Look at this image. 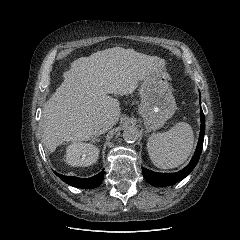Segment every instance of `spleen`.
<instances>
[{
  "label": "spleen",
  "mask_w": 240,
  "mask_h": 240,
  "mask_svg": "<svg viewBox=\"0 0 240 240\" xmlns=\"http://www.w3.org/2000/svg\"><path fill=\"white\" fill-rule=\"evenodd\" d=\"M194 143L191 126L179 122L163 133H153L147 143V149L153 164L161 169L175 168L189 157Z\"/></svg>",
  "instance_id": "obj_1"
}]
</instances>
